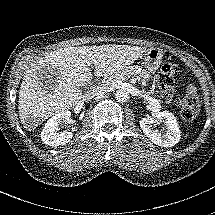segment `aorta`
Returning <instances> with one entry per match:
<instances>
[{"label":"aorta","mask_w":215,"mask_h":215,"mask_svg":"<svg viewBox=\"0 0 215 215\" xmlns=\"http://www.w3.org/2000/svg\"><path fill=\"white\" fill-rule=\"evenodd\" d=\"M115 99L120 103H125L129 100V94L124 89H119L115 92Z\"/></svg>","instance_id":"762f6f07"}]
</instances>
